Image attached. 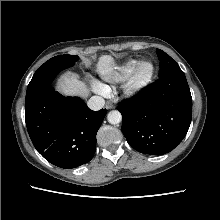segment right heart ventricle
Returning <instances> with one entry per match:
<instances>
[{
	"instance_id": "right-heart-ventricle-1",
	"label": "right heart ventricle",
	"mask_w": 220,
	"mask_h": 220,
	"mask_svg": "<svg viewBox=\"0 0 220 220\" xmlns=\"http://www.w3.org/2000/svg\"><path fill=\"white\" fill-rule=\"evenodd\" d=\"M137 64V60L129 59L118 66L110 75L104 77V80L107 82L117 83L126 79L130 73L132 72L133 68ZM102 90L107 91V87L101 84Z\"/></svg>"
}]
</instances>
